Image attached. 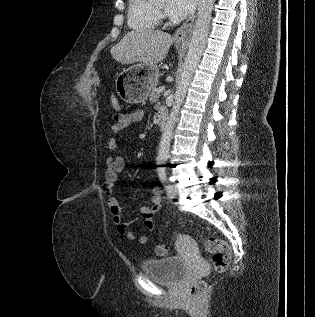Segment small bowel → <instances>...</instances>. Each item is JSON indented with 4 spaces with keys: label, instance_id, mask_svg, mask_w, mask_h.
Returning <instances> with one entry per match:
<instances>
[{
    "label": "small bowel",
    "instance_id": "1",
    "mask_svg": "<svg viewBox=\"0 0 315 317\" xmlns=\"http://www.w3.org/2000/svg\"><path fill=\"white\" fill-rule=\"evenodd\" d=\"M144 118L143 110L137 109L130 113H122L114 116V123L111 127L114 134H118L123 131L126 127L134 123H139ZM117 147V138L112 136L108 140V148L114 150ZM125 166V160L122 156H111L106 159L104 177L102 188L107 198V203L113 216V222L117 228V232L120 236L126 237L129 240L135 239V233L130 228L131 224L134 223L138 216H142L144 219V226L147 231L154 230V215L162 208L161 188L154 186L152 188V197L150 206H142L139 209L137 216L131 221H125L124 219V207L119 198L114 195V186L117 181L118 172L122 171ZM148 241V234L143 233L139 237L141 244H146Z\"/></svg>",
    "mask_w": 315,
    "mask_h": 317
}]
</instances>
